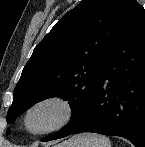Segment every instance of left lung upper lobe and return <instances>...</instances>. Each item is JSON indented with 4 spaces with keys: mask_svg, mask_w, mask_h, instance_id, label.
<instances>
[{
    "mask_svg": "<svg viewBox=\"0 0 145 147\" xmlns=\"http://www.w3.org/2000/svg\"><path fill=\"white\" fill-rule=\"evenodd\" d=\"M130 1L83 0L58 21L24 67L7 122L12 123L35 103L57 96L69 101L72 117L64 128L48 137L76 128L86 113Z\"/></svg>",
    "mask_w": 145,
    "mask_h": 147,
    "instance_id": "1",
    "label": "left lung upper lobe"
}]
</instances>
